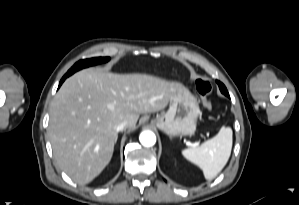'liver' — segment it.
Segmentation results:
<instances>
[{
    "label": "liver",
    "instance_id": "liver-1",
    "mask_svg": "<svg viewBox=\"0 0 299 205\" xmlns=\"http://www.w3.org/2000/svg\"><path fill=\"white\" fill-rule=\"evenodd\" d=\"M182 85L147 74L83 69L67 78L50 105L48 133L56 162L85 185L109 164L116 125L134 129L141 113L164 109Z\"/></svg>",
    "mask_w": 299,
    "mask_h": 205
}]
</instances>
